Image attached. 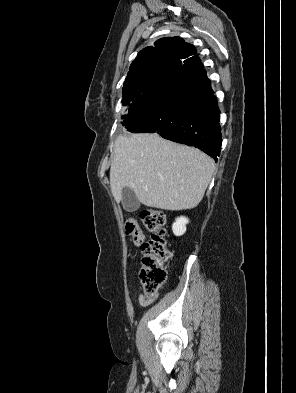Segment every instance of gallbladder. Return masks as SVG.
I'll return each instance as SVG.
<instances>
[{
    "mask_svg": "<svg viewBox=\"0 0 296 393\" xmlns=\"http://www.w3.org/2000/svg\"><path fill=\"white\" fill-rule=\"evenodd\" d=\"M122 205L129 212L136 211L140 206V202L134 191L128 187L122 189Z\"/></svg>",
    "mask_w": 296,
    "mask_h": 393,
    "instance_id": "obj_1",
    "label": "gallbladder"
}]
</instances>
